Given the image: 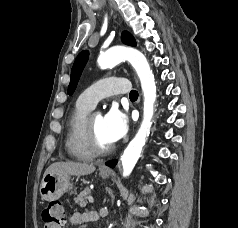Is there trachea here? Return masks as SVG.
I'll list each match as a JSON object with an SVG mask.
<instances>
[{"mask_svg":"<svg viewBox=\"0 0 238 228\" xmlns=\"http://www.w3.org/2000/svg\"><path fill=\"white\" fill-rule=\"evenodd\" d=\"M130 99H137L138 98V92L136 90H131L129 94Z\"/></svg>","mask_w":238,"mask_h":228,"instance_id":"trachea-1","label":"trachea"}]
</instances>
